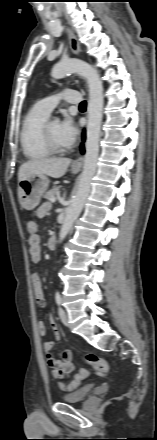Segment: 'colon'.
Here are the masks:
<instances>
[{"instance_id":"1","label":"colon","mask_w":157,"mask_h":440,"mask_svg":"<svg viewBox=\"0 0 157 440\" xmlns=\"http://www.w3.org/2000/svg\"><path fill=\"white\" fill-rule=\"evenodd\" d=\"M26 228L29 233V236H34L38 234V225L35 221L29 220L26 224ZM85 360L100 375L105 374L108 370V365L106 361L93 354H87L85 356ZM87 373L88 371L86 369L80 370V372L76 374L74 379L69 384L65 385L61 383V387L67 390L75 388L76 386H78L80 381L87 375Z\"/></svg>"}]
</instances>
